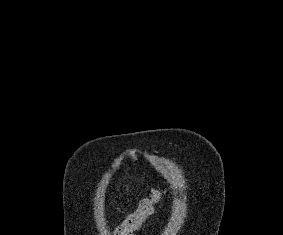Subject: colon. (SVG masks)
Returning <instances> with one entry per match:
<instances>
[{
    "label": "colon",
    "instance_id": "5ec220e1",
    "mask_svg": "<svg viewBox=\"0 0 283 235\" xmlns=\"http://www.w3.org/2000/svg\"><path fill=\"white\" fill-rule=\"evenodd\" d=\"M162 190L155 188L147 197H145L139 204L137 210L132 215L133 221H139L144 217L148 216L153 210L157 202L162 197Z\"/></svg>",
    "mask_w": 283,
    "mask_h": 235
}]
</instances>
